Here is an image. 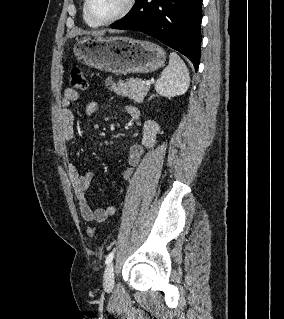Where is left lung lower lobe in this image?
Returning <instances> with one entry per match:
<instances>
[{"mask_svg":"<svg viewBox=\"0 0 284 319\" xmlns=\"http://www.w3.org/2000/svg\"><path fill=\"white\" fill-rule=\"evenodd\" d=\"M202 0H136L114 29L146 33L188 57L198 70Z\"/></svg>","mask_w":284,"mask_h":319,"instance_id":"obj_1","label":"left lung lower lobe"}]
</instances>
